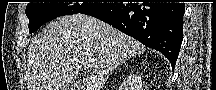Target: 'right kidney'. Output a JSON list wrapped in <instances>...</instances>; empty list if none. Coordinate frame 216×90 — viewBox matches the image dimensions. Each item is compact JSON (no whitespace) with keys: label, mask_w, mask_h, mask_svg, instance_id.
<instances>
[{"label":"right kidney","mask_w":216,"mask_h":90,"mask_svg":"<svg viewBox=\"0 0 216 90\" xmlns=\"http://www.w3.org/2000/svg\"><path fill=\"white\" fill-rule=\"evenodd\" d=\"M133 80H135L136 86H139V84L141 82V78H139V76H133Z\"/></svg>","instance_id":"ca27d5eb"}]
</instances>
